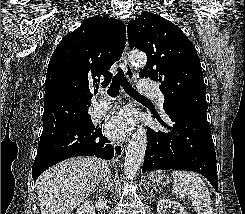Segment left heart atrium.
I'll return each mask as SVG.
<instances>
[{
  "label": "left heart atrium",
  "mask_w": 245,
  "mask_h": 214,
  "mask_svg": "<svg viewBox=\"0 0 245 214\" xmlns=\"http://www.w3.org/2000/svg\"><path fill=\"white\" fill-rule=\"evenodd\" d=\"M132 124L130 113L123 111L114 117L107 125L106 131L114 139H120L125 136Z\"/></svg>",
  "instance_id": "obj_1"
}]
</instances>
